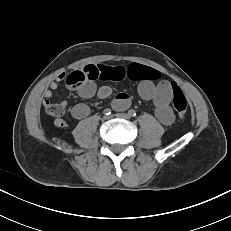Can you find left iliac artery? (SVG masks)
<instances>
[{
	"instance_id": "left-iliac-artery-1",
	"label": "left iliac artery",
	"mask_w": 231,
	"mask_h": 231,
	"mask_svg": "<svg viewBox=\"0 0 231 231\" xmlns=\"http://www.w3.org/2000/svg\"><path fill=\"white\" fill-rule=\"evenodd\" d=\"M128 114L131 116V117H135L136 116V112L135 110L131 109L128 111Z\"/></svg>"
}]
</instances>
